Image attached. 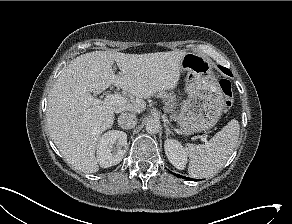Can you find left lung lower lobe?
I'll use <instances>...</instances> for the list:
<instances>
[{
    "label": "left lung lower lobe",
    "instance_id": "obj_1",
    "mask_svg": "<svg viewBox=\"0 0 292 224\" xmlns=\"http://www.w3.org/2000/svg\"><path fill=\"white\" fill-rule=\"evenodd\" d=\"M176 176H177L178 178H183V179L190 180V181L193 180L192 178L184 177V176L177 175V174H176Z\"/></svg>",
    "mask_w": 292,
    "mask_h": 224
}]
</instances>
